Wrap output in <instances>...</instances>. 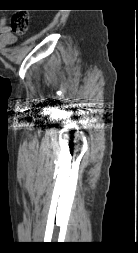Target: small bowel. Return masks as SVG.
<instances>
[{"mask_svg": "<svg viewBox=\"0 0 138 253\" xmlns=\"http://www.w3.org/2000/svg\"><path fill=\"white\" fill-rule=\"evenodd\" d=\"M16 37L14 36L11 28L6 26L3 21L0 22V46L6 47L14 43Z\"/></svg>", "mask_w": 138, "mask_h": 253, "instance_id": "c3829d8e", "label": "small bowel"}]
</instances>
